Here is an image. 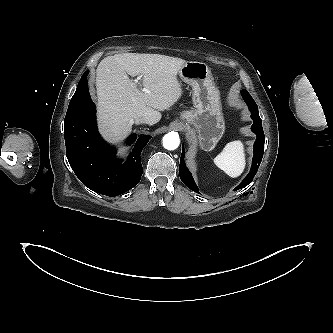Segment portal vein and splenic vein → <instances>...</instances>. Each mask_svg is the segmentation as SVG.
I'll use <instances>...</instances> for the list:
<instances>
[{"label":"portal vein and splenic vein","instance_id":"1","mask_svg":"<svg viewBox=\"0 0 333 333\" xmlns=\"http://www.w3.org/2000/svg\"><path fill=\"white\" fill-rule=\"evenodd\" d=\"M141 77H142V75H140L137 79H135V80H134V83H135V84H139L138 80H139ZM142 91L147 92V90L144 89V88L142 89Z\"/></svg>","mask_w":333,"mask_h":333}]
</instances>
